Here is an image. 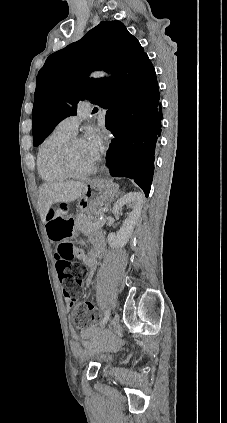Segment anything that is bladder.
I'll return each mask as SVG.
<instances>
[{"mask_svg": "<svg viewBox=\"0 0 227 423\" xmlns=\"http://www.w3.org/2000/svg\"><path fill=\"white\" fill-rule=\"evenodd\" d=\"M110 352L103 351V350H96L93 352V354L89 357H87V360L97 359L98 360V366L104 367L107 364H112L115 360L114 355H109Z\"/></svg>", "mask_w": 227, "mask_h": 423, "instance_id": "1", "label": "bladder"}]
</instances>
